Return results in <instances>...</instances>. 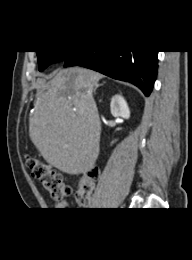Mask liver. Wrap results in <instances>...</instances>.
I'll return each mask as SVG.
<instances>
[{
	"label": "liver",
	"mask_w": 192,
	"mask_h": 260,
	"mask_svg": "<svg viewBox=\"0 0 192 260\" xmlns=\"http://www.w3.org/2000/svg\"><path fill=\"white\" fill-rule=\"evenodd\" d=\"M102 77L90 69L70 67L49 82L37 79L29 136L44 160L64 173H87L98 158L101 123L92 91Z\"/></svg>",
	"instance_id": "1"
}]
</instances>
